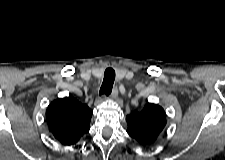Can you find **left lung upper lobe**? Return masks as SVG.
Segmentation results:
<instances>
[{
    "instance_id": "left-lung-upper-lobe-1",
    "label": "left lung upper lobe",
    "mask_w": 225,
    "mask_h": 160,
    "mask_svg": "<svg viewBox=\"0 0 225 160\" xmlns=\"http://www.w3.org/2000/svg\"><path fill=\"white\" fill-rule=\"evenodd\" d=\"M127 133L141 145H152L166 125V114L162 107L147 103L140 112L126 117Z\"/></svg>"
}]
</instances>
